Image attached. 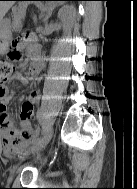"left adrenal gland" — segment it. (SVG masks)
I'll use <instances>...</instances> for the list:
<instances>
[{
    "mask_svg": "<svg viewBox=\"0 0 137 189\" xmlns=\"http://www.w3.org/2000/svg\"><path fill=\"white\" fill-rule=\"evenodd\" d=\"M55 7H56V6L50 7V8L47 10V13H46V16H45V19H44L45 22H47L48 19L51 17L52 12H53V10H54Z\"/></svg>",
    "mask_w": 137,
    "mask_h": 189,
    "instance_id": "left-adrenal-gland-1",
    "label": "left adrenal gland"
}]
</instances>
